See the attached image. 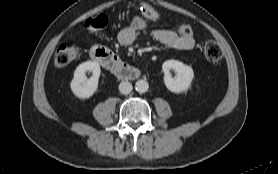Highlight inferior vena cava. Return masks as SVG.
<instances>
[{"mask_svg":"<svg viewBox=\"0 0 278 174\" xmlns=\"http://www.w3.org/2000/svg\"><path fill=\"white\" fill-rule=\"evenodd\" d=\"M119 91L122 94H129L132 91V84L128 81H123L119 84Z\"/></svg>","mask_w":278,"mask_h":174,"instance_id":"602c4592","label":"inferior vena cava"}]
</instances>
